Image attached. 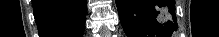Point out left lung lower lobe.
<instances>
[{
    "label": "left lung lower lobe",
    "mask_w": 219,
    "mask_h": 37,
    "mask_svg": "<svg viewBox=\"0 0 219 37\" xmlns=\"http://www.w3.org/2000/svg\"><path fill=\"white\" fill-rule=\"evenodd\" d=\"M128 37H171L177 29L174 0H116Z\"/></svg>",
    "instance_id": "1"
}]
</instances>
